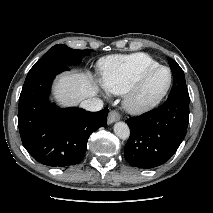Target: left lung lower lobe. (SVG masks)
Segmentation results:
<instances>
[{
    "label": "left lung lower lobe",
    "instance_id": "1",
    "mask_svg": "<svg viewBox=\"0 0 213 213\" xmlns=\"http://www.w3.org/2000/svg\"><path fill=\"white\" fill-rule=\"evenodd\" d=\"M130 138L124 155L131 166L154 168L167 162L183 141L189 123V100L168 97L160 107L126 120Z\"/></svg>",
    "mask_w": 213,
    "mask_h": 213
}]
</instances>
